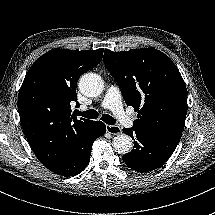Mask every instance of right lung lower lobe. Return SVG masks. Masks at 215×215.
<instances>
[{
	"label": "right lung lower lobe",
	"mask_w": 215,
	"mask_h": 215,
	"mask_svg": "<svg viewBox=\"0 0 215 215\" xmlns=\"http://www.w3.org/2000/svg\"><path fill=\"white\" fill-rule=\"evenodd\" d=\"M105 132L106 126L101 121H89L78 128L68 138L63 159L49 170L66 177L82 172L89 163L93 142Z\"/></svg>",
	"instance_id": "obj_1"
}]
</instances>
